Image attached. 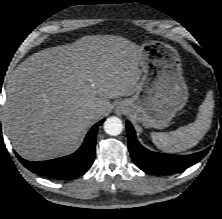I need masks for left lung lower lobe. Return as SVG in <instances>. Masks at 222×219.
<instances>
[{
  "label": "left lung lower lobe",
  "instance_id": "obj_1",
  "mask_svg": "<svg viewBox=\"0 0 222 219\" xmlns=\"http://www.w3.org/2000/svg\"><path fill=\"white\" fill-rule=\"evenodd\" d=\"M196 51L204 58L202 49L193 45ZM128 148L134 163L144 172L151 174H170L184 170L200 161L208 152L205 149L191 155H171L155 153L144 148L137 140L133 126L127 122Z\"/></svg>",
  "mask_w": 222,
  "mask_h": 219
}]
</instances>
